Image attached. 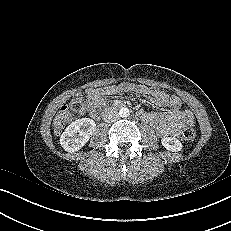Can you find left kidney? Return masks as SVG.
<instances>
[{"instance_id":"left-kidney-1","label":"left kidney","mask_w":231,"mask_h":231,"mask_svg":"<svg viewBox=\"0 0 231 231\" xmlns=\"http://www.w3.org/2000/svg\"><path fill=\"white\" fill-rule=\"evenodd\" d=\"M161 142L168 151L178 152L182 149L181 142L175 137H164Z\"/></svg>"}]
</instances>
